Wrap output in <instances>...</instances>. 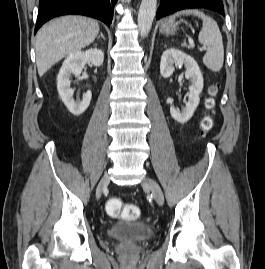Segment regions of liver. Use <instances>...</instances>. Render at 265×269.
Here are the masks:
<instances>
[{
    "mask_svg": "<svg viewBox=\"0 0 265 269\" xmlns=\"http://www.w3.org/2000/svg\"><path fill=\"white\" fill-rule=\"evenodd\" d=\"M99 33L97 21L65 16L45 24L36 35L38 74L42 77L55 63L91 44Z\"/></svg>",
    "mask_w": 265,
    "mask_h": 269,
    "instance_id": "6515ba94",
    "label": "liver"
}]
</instances>
